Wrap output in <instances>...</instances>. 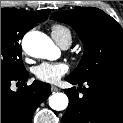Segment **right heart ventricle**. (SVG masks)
<instances>
[{"mask_svg": "<svg viewBox=\"0 0 123 123\" xmlns=\"http://www.w3.org/2000/svg\"><path fill=\"white\" fill-rule=\"evenodd\" d=\"M52 36L56 41L64 38H68L72 40V35L70 30L67 27L60 24H55L52 26Z\"/></svg>", "mask_w": 123, "mask_h": 123, "instance_id": "1", "label": "right heart ventricle"}]
</instances>
